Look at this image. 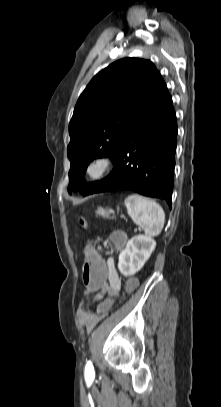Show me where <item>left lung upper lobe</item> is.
<instances>
[{
  "label": "left lung upper lobe",
  "mask_w": 221,
  "mask_h": 407,
  "mask_svg": "<svg viewBox=\"0 0 221 407\" xmlns=\"http://www.w3.org/2000/svg\"><path fill=\"white\" fill-rule=\"evenodd\" d=\"M149 60L124 58L100 71L80 95L69 123L68 192L85 193L84 174L95 158H114L123 137L162 81Z\"/></svg>",
  "instance_id": "5c2ea615"
}]
</instances>
